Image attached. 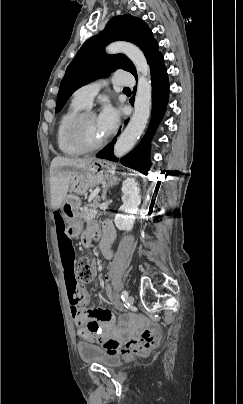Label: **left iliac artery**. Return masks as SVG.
<instances>
[{
  "label": "left iliac artery",
  "mask_w": 243,
  "mask_h": 404,
  "mask_svg": "<svg viewBox=\"0 0 243 404\" xmlns=\"http://www.w3.org/2000/svg\"><path fill=\"white\" fill-rule=\"evenodd\" d=\"M127 297H128V292H127L126 290H123V291H122L121 298H122L123 300H125V299H127Z\"/></svg>",
  "instance_id": "left-iliac-artery-1"
}]
</instances>
